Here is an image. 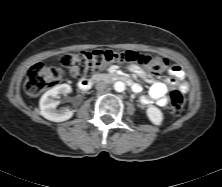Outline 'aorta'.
<instances>
[{
  "mask_svg": "<svg viewBox=\"0 0 222 187\" xmlns=\"http://www.w3.org/2000/svg\"><path fill=\"white\" fill-rule=\"evenodd\" d=\"M113 87L116 92H123L126 88L125 83L122 81L115 82Z\"/></svg>",
  "mask_w": 222,
  "mask_h": 187,
  "instance_id": "aorta-1",
  "label": "aorta"
}]
</instances>
